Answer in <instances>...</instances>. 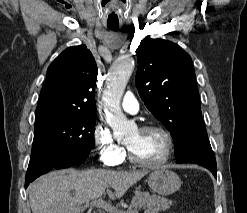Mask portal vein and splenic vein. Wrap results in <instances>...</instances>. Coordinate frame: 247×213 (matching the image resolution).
Here are the masks:
<instances>
[{
    "label": "portal vein and splenic vein",
    "instance_id": "18ae733b",
    "mask_svg": "<svg viewBox=\"0 0 247 213\" xmlns=\"http://www.w3.org/2000/svg\"><path fill=\"white\" fill-rule=\"evenodd\" d=\"M85 206H96L98 208L104 209L109 211L110 213H125L122 210H117L114 206H111L110 204L106 203L102 198H99L98 200H94L92 202H87Z\"/></svg>",
    "mask_w": 247,
    "mask_h": 213
}]
</instances>
